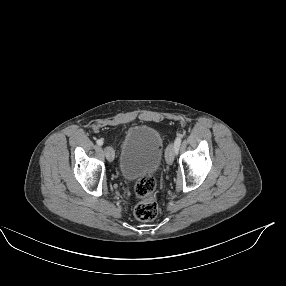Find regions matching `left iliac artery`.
<instances>
[{
  "instance_id": "obj_1",
  "label": "left iliac artery",
  "mask_w": 286,
  "mask_h": 286,
  "mask_svg": "<svg viewBox=\"0 0 286 286\" xmlns=\"http://www.w3.org/2000/svg\"><path fill=\"white\" fill-rule=\"evenodd\" d=\"M181 141H182V135L179 134L174 141V146H175L176 152H178V150H179V146L181 144Z\"/></svg>"
}]
</instances>
